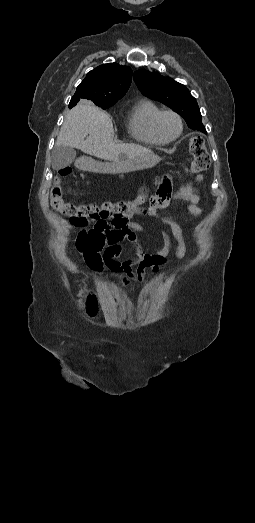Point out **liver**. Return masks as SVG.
<instances>
[{
    "mask_svg": "<svg viewBox=\"0 0 255 523\" xmlns=\"http://www.w3.org/2000/svg\"><path fill=\"white\" fill-rule=\"evenodd\" d=\"M113 138L114 128L108 114L92 106L91 102L83 100L65 116L56 146H70L101 160H110L112 164H108L106 174L115 172L116 168L121 166L119 160L122 154H125L128 160L147 156L152 166H156L161 160L159 156L152 154L149 148H143L138 144H114Z\"/></svg>",
    "mask_w": 255,
    "mask_h": 523,
    "instance_id": "6515ba94",
    "label": "liver"
}]
</instances>
